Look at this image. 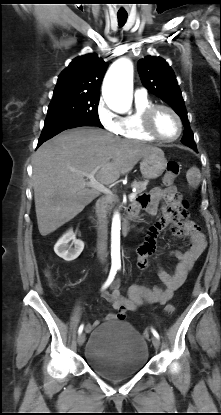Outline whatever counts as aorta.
<instances>
[{
	"label": "aorta",
	"instance_id": "obj_1",
	"mask_svg": "<svg viewBox=\"0 0 221 415\" xmlns=\"http://www.w3.org/2000/svg\"><path fill=\"white\" fill-rule=\"evenodd\" d=\"M108 107L123 113L131 108L133 100V64L127 58L117 60L109 68L102 88ZM120 214L115 213L111 227V257L113 265H120Z\"/></svg>",
	"mask_w": 221,
	"mask_h": 415
}]
</instances>
